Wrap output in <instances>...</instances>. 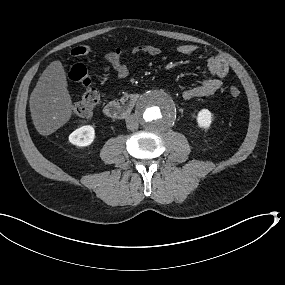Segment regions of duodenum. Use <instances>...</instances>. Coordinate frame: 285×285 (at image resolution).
Wrapping results in <instances>:
<instances>
[{
    "mask_svg": "<svg viewBox=\"0 0 285 285\" xmlns=\"http://www.w3.org/2000/svg\"><path fill=\"white\" fill-rule=\"evenodd\" d=\"M137 100V94H129L121 99L112 100L104 107V113L107 117L112 119H125L133 111Z\"/></svg>",
    "mask_w": 285,
    "mask_h": 285,
    "instance_id": "1",
    "label": "duodenum"
}]
</instances>
